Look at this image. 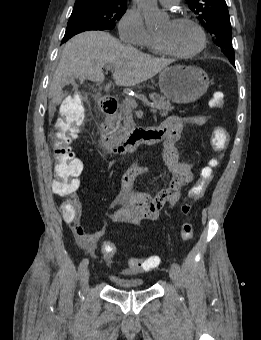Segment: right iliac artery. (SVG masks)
<instances>
[{
	"mask_svg": "<svg viewBox=\"0 0 261 340\" xmlns=\"http://www.w3.org/2000/svg\"><path fill=\"white\" fill-rule=\"evenodd\" d=\"M89 260L87 258L83 259L79 265V272L82 273L88 266Z\"/></svg>",
	"mask_w": 261,
	"mask_h": 340,
	"instance_id": "1",
	"label": "right iliac artery"
}]
</instances>
